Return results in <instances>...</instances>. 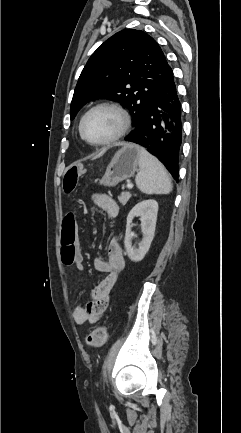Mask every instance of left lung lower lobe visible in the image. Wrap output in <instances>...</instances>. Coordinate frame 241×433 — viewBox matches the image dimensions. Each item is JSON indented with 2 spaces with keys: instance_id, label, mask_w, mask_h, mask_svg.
Wrapping results in <instances>:
<instances>
[{
  "instance_id": "0a47b994",
  "label": "left lung lower lobe",
  "mask_w": 241,
  "mask_h": 433,
  "mask_svg": "<svg viewBox=\"0 0 241 433\" xmlns=\"http://www.w3.org/2000/svg\"><path fill=\"white\" fill-rule=\"evenodd\" d=\"M126 141L145 147L178 180V161L182 143L181 103L170 68L162 88L144 110L135 130Z\"/></svg>"
}]
</instances>
